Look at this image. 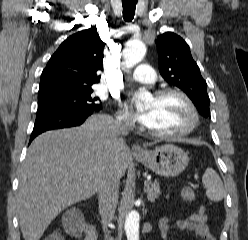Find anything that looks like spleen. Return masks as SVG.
Listing matches in <instances>:
<instances>
[{"mask_svg": "<svg viewBox=\"0 0 248 240\" xmlns=\"http://www.w3.org/2000/svg\"><path fill=\"white\" fill-rule=\"evenodd\" d=\"M202 183L206 188V195L211 201L217 202L223 199L224 186L215 170L207 168L203 174Z\"/></svg>", "mask_w": 248, "mask_h": 240, "instance_id": "spleen-1", "label": "spleen"}]
</instances>
